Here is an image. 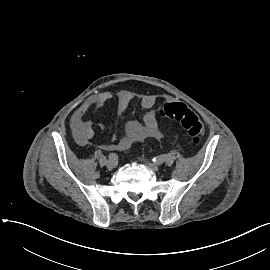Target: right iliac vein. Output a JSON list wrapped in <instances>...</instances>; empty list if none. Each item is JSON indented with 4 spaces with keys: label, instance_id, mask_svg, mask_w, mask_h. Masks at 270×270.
Instances as JSON below:
<instances>
[{
    "label": "right iliac vein",
    "instance_id": "obj_1",
    "mask_svg": "<svg viewBox=\"0 0 270 270\" xmlns=\"http://www.w3.org/2000/svg\"><path fill=\"white\" fill-rule=\"evenodd\" d=\"M106 166H107L108 170H113L115 168V166H116V163L111 161V160H108L106 162Z\"/></svg>",
    "mask_w": 270,
    "mask_h": 270
}]
</instances>
